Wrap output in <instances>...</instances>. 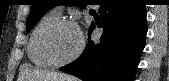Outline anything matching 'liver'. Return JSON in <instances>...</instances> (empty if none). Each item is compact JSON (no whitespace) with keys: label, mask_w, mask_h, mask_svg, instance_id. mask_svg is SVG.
<instances>
[{"label":"liver","mask_w":169,"mask_h":81,"mask_svg":"<svg viewBox=\"0 0 169 81\" xmlns=\"http://www.w3.org/2000/svg\"><path fill=\"white\" fill-rule=\"evenodd\" d=\"M24 80L26 81H76L74 77L69 75L53 72L33 69L28 66L24 68Z\"/></svg>","instance_id":"liver-1"}]
</instances>
